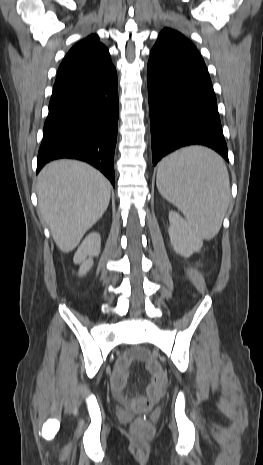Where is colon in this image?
<instances>
[{
  "label": "colon",
  "mask_w": 263,
  "mask_h": 465,
  "mask_svg": "<svg viewBox=\"0 0 263 465\" xmlns=\"http://www.w3.org/2000/svg\"><path fill=\"white\" fill-rule=\"evenodd\" d=\"M162 389L159 387H151L149 397H139L133 400V407L136 411H147L152 407L153 400L160 396ZM134 430L141 435L149 434L152 426L142 417H138L133 423Z\"/></svg>",
  "instance_id": "obj_1"
}]
</instances>
